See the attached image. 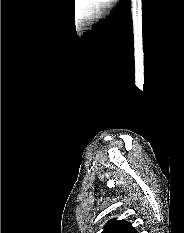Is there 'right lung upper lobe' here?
I'll return each instance as SVG.
<instances>
[{
    "label": "right lung upper lobe",
    "instance_id": "cb5924a9",
    "mask_svg": "<svg viewBox=\"0 0 184 233\" xmlns=\"http://www.w3.org/2000/svg\"><path fill=\"white\" fill-rule=\"evenodd\" d=\"M102 233H136V230L128 221L112 219L107 222Z\"/></svg>",
    "mask_w": 184,
    "mask_h": 233
}]
</instances>
